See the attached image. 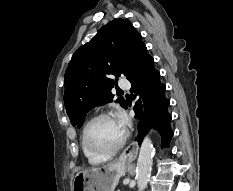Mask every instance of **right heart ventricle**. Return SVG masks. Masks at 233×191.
Instances as JSON below:
<instances>
[{"mask_svg":"<svg viewBox=\"0 0 233 191\" xmlns=\"http://www.w3.org/2000/svg\"><path fill=\"white\" fill-rule=\"evenodd\" d=\"M87 123L84 124L83 126V129H82V132H81V147H82V151L86 157V159L92 163V164H98V163H101L103 162L106 158H103V157H97V156H94L92 154H90L85 146H84V142H83V133H84V129H85V126H86Z\"/></svg>","mask_w":233,"mask_h":191,"instance_id":"right-heart-ventricle-1","label":"right heart ventricle"}]
</instances>
